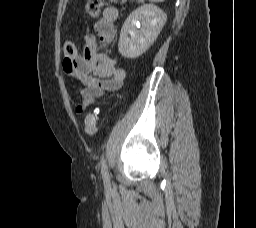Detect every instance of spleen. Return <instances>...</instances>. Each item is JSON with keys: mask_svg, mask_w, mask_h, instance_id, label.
Wrapping results in <instances>:
<instances>
[{"mask_svg": "<svg viewBox=\"0 0 256 228\" xmlns=\"http://www.w3.org/2000/svg\"><path fill=\"white\" fill-rule=\"evenodd\" d=\"M150 2H163L164 0H149Z\"/></svg>", "mask_w": 256, "mask_h": 228, "instance_id": "spleen-1", "label": "spleen"}]
</instances>
